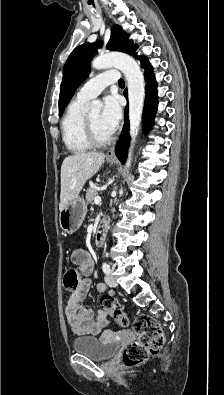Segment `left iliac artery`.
Here are the masks:
<instances>
[{
  "instance_id": "1",
  "label": "left iliac artery",
  "mask_w": 224,
  "mask_h": 395,
  "mask_svg": "<svg viewBox=\"0 0 224 395\" xmlns=\"http://www.w3.org/2000/svg\"><path fill=\"white\" fill-rule=\"evenodd\" d=\"M102 269H103V272H104L105 274H109L110 271H111V270H110V266H109L106 262L103 263Z\"/></svg>"
}]
</instances>
